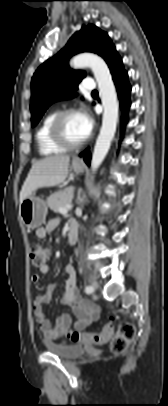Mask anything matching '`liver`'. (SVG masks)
Instances as JSON below:
<instances>
[{
	"label": "liver",
	"mask_w": 168,
	"mask_h": 406,
	"mask_svg": "<svg viewBox=\"0 0 168 406\" xmlns=\"http://www.w3.org/2000/svg\"><path fill=\"white\" fill-rule=\"evenodd\" d=\"M70 157L55 155L33 163L20 192V203L38 188L53 187L65 181Z\"/></svg>",
	"instance_id": "liver-1"
}]
</instances>
